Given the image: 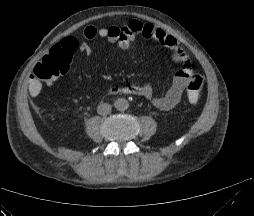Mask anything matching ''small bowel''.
<instances>
[{"mask_svg": "<svg viewBox=\"0 0 254 216\" xmlns=\"http://www.w3.org/2000/svg\"><path fill=\"white\" fill-rule=\"evenodd\" d=\"M84 37L88 40L95 38L106 39L112 44H116L121 50H128L136 35H142L146 39L158 41L170 50V56L174 63L181 66L176 72L171 86L164 93H156L150 85H120L107 86L105 90L110 94L136 95L149 100L156 108L161 111L174 109L181 101L182 93L188 83L191 74V60L187 52L179 46L177 40L157 28L152 24H142L140 21L133 20L123 26L96 27L88 25L83 31ZM52 49L66 52L72 56L76 51L89 54L91 49L87 43H79L76 38L67 37ZM45 84L40 83L33 72V76L28 81V88L32 95L39 94Z\"/></svg>", "mask_w": 254, "mask_h": 216, "instance_id": "1", "label": "small bowel"}]
</instances>
